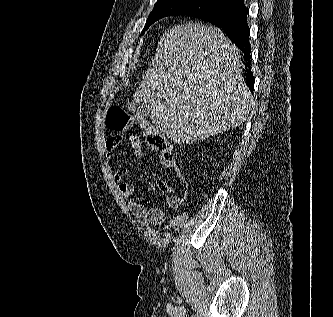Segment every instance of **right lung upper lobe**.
<instances>
[{
	"label": "right lung upper lobe",
	"instance_id": "right-lung-upper-lobe-1",
	"mask_svg": "<svg viewBox=\"0 0 333 317\" xmlns=\"http://www.w3.org/2000/svg\"><path fill=\"white\" fill-rule=\"evenodd\" d=\"M227 1H229L230 3H235V2H237L239 0H227Z\"/></svg>",
	"mask_w": 333,
	"mask_h": 317
}]
</instances>
